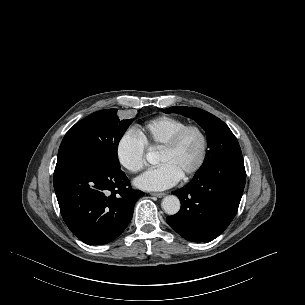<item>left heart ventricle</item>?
I'll return each instance as SVG.
<instances>
[{
  "label": "left heart ventricle",
  "instance_id": "obj_1",
  "mask_svg": "<svg viewBox=\"0 0 305 305\" xmlns=\"http://www.w3.org/2000/svg\"><path fill=\"white\" fill-rule=\"evenodd\" d=\"M200 154L201 138L197 132L190 131L174 150L159 151L158 162L171 164L183 176L196 165Z\"/></svg>",
  "mask_w": 305,
  "mask_h": 305
}]
</instances>
